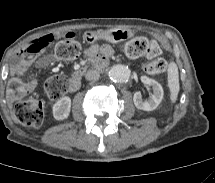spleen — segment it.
<instances>
[{"mask_svg": "<svg viewBox=\"0 0 215 183\" xmlns=\"http://www.w3.org/2000/svg\"><path fill=\"white\" fill-rule=\"evenodd\" d=\"M168 87L170 92V100L175 103L180 90L179 73L175 63L170 64L168 69Z\"/></svg>", "mask_w": 215, "mask_h": 183, "instance_id": "1", "label": "spleen"}]
</instances>
